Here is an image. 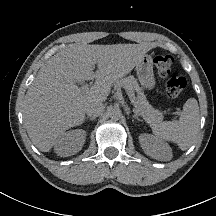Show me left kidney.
Wrapping results in <instances>:
<instances>
[{"instance_id":"left-kidney-1","label":"left kidney","mask_w":216,"mask_h":216,"mask_svg":"<svg viewBox=\"0 0 216 216\" xmlns=\"http://www.w3.org/2000/svg\"><path fill=\"white\" fill-rule=\"evenodd\" d=\"M139 142L143 151L156 160L169 161L172 157L170 146L158 137L140 134Z\"/></svg>"}]
</instances>
